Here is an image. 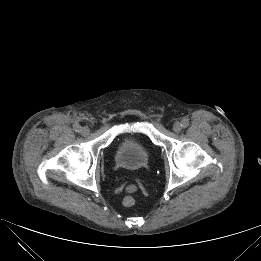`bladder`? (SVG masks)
<instances>
[{
	"label": "bladder",
	"mask_w": 261,
	"mask_h": 261,
	"mask_svg": "<svg viewBox=\"0 0 261 261\" xmlns=\"http://www.w3.org/2000/svg\"><path fill=\"white\" fill-rule=\"evenodd\" d=\"M149 157V147L140 135H122L117 143L115 162L127 170L142 168Z\"/></svg>",
	"instance_id": "bladder-1"
}]
</instances>
